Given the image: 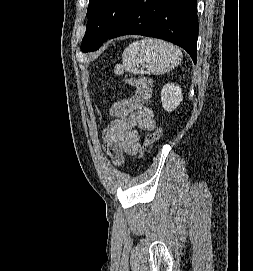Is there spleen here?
<instances>
[{"label":"spleen","mask_w":253,"mask_h":271,"mask_svg":"<svg viewBox=\"0 0 253 271\" xmlns=\"http://www.w3.org/2000/svg\"><path fill=\"white\" fill-rule=\"evenodd\" d=\"M181 60L182 52L178 47L160 39L146 38L131 43L124 50L122 64L116 65L115 73L163 75L178 66ZM139 65L141 70L136 68Z\"/></svg>","instance_id":"obj_1"}]
</instances>
